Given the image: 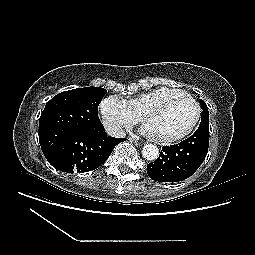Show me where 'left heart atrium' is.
<instances>
[{"label": "left heart atrium", "instance_id": "left-heart-atrium-1", "mask_svg": "<svg viewBox=\"0 0 255 255\" xmlns=\"http://www.w3.org/2000/svg\"><path fill=\"white\" fill-rule=\"evenodd\" d=\"M141 133L146 135V136H150V137H153L154 136V133L153 131L151 130V128L147 125H143L142 128H141Z\"/></svg>", "mask_w": 255, "mask_h": 255}]
</instances>
